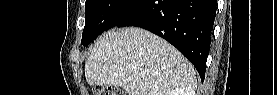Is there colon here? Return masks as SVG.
I'll use <instances>...</instances> for the list:
<instances>
[{"mask_svg": "<svg viewBox=\"0 0 277 95\" xmlns=\"http://www.w3.org/2000/svg\"><path fill=\"white\" fill-rule=\"evenodd\" d=\"M94 95H120L124 94L113 86H96L93 89Z\"/></svg>", "mask_w": 277, "mask_h": 95, "instance_id": "1", "label": "colon"}]
</instances>
